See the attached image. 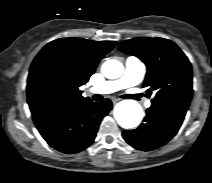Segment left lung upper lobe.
Returning a JSON list of instances; mask_svg holds the SVG:
<instances>
[{
  "label": "left lung upper lobe",
  "instance_id": "left-lung-upper-lobe-1",
  "mask_svg": "<svg viewBox=\"0 0 212 183\" xmlns=\"http://www.w3.org/2000/svg\"><path fill=\"white\" fill-rule=\"evenodd\" d=\"M119 50L137 56L147 66L143 86L152 104L187 109L192 95V68L179 47L164 38H134L119 44Z\"/></svg>",
  "mask_w": 212,
  "mask_h": 183
}]
</instances>
